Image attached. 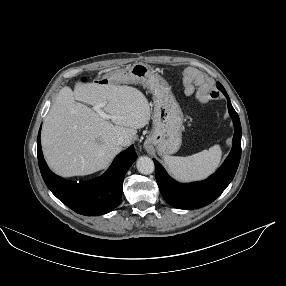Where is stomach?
<instances>
[{
  "label": "stomach",
  "mask_w": 286,
  "mask_h": 286,
  "mask_svg": "<svg viewBox=\"0 0 286 286\" xmlns=\"http://www.w3.org/2000/svg\"><path fill=\"white\" fill-rule=\"evenodd\" d=\"M110 83H140L153 94V129L145 146L160 155L176 153L182 143L183 113L166 80L152 67L135 63L105 76Z\"/></svg>",
  "instance_id": "1"
}]
</instances>
